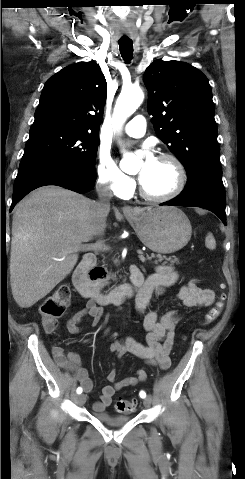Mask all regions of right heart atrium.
<instances>
[{
    "instance_id": "obj_1",
    "label": "right heart atrium",
    "mask_w": 245,
    "mask_h": 479,
    "mask_svg": "<svg viewBox=\"0 0 245 479\" xmlns=\"http://www.w3.org/2000/svg\"><path fill=\"white\" fill-rule=\"evenodd\" d=\"M98 183L113 195L125 197L130 194L134 181L116 164L106 149H100L97 156Z\"/></svg>"
}]
</instances>
